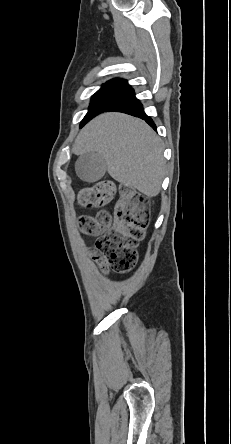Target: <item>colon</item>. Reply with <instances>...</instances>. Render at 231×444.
<instances>
[{"label": "colon", "instance_id": "1", "mask_svg": "<svg viewBox=\"0 0 231 444\" xmlns=\"http://www.w3.org/2000/svg\"><path fill=\"white\" fill-rule=\"evenodd\" d=\"M116 192L114 184L102 181L80 191L78 201L90 208H99L112 201ZM150 219L149 201L146 196L132 189H125L117 202L114 218L106 211L95 216H81L79 227L90 236H98L96 252L108 268L118 273L129 272L136 264V247L145 237Z\"/></svg>", "mask_w": 231, "mask_h": 444}]
</instances>
